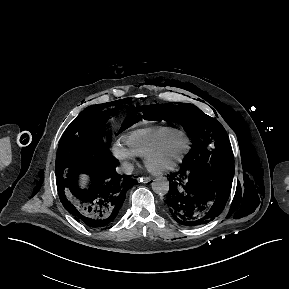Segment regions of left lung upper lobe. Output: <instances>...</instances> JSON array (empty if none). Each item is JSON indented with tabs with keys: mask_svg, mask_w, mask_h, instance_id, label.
I'll use <instances>...</instances> for the list:
<instances>
[{
	"mask_svg": "<svg viewBox=\"0 0 289 289\" xmlns=\"http://www.w3.org/2000/svg\"><path fill=\"white\" fill-rule=\"evenodd\" d=\"M144 118L182 125L192 139L188 156L208 154L220 168L233 165L234 157L224 127L214 118L190 103H168L143 106Z\"/></svg>",
	"mask_w": 289,
	"mask_h": 289,
	"instance_id": "1",
	"label": "left lung upper lobe"
}]
</instances>
